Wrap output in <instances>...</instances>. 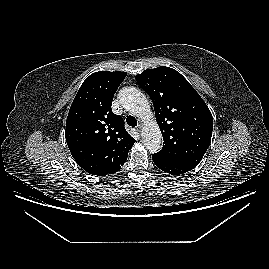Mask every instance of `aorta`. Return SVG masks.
Wrapping results in <instances>:
<instances>
[{
  "label": "aorta",
  "mask_w": 269,
  "mask_h": 269,
  "mask_svg": "<svg viewBox=\"0 0 269 269\" xmlns=\"http://www.w3.org/2000/svg\"><path fill=\"white\" fill-rule=\"evenodd\" d=\"M119 99L129 113L144 121L142 141L146 149L151 153L158 152L161 149L162 134L145 95L134 87H128L120 91Z\"/></svg>",
  "instance_id": "aorta-1"
}]
</instances>
